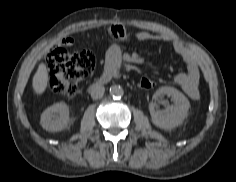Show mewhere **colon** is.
<instances>
[{
	"label": "colon",
	"instance_id": "1",
	"mask_svg": "<svg viewBox=\"0 0 236 182\" xmlns=\"http://www.w3.org/2000/svg\"><path fill=\"white\" fill-rule=\"evenodd\" d=\"M117 38L119 35L108 30ZM50 72V88L58 96L70 99L77 93L78 82L92 73L96 65L94 54L89 50L69 52L64 42L55 45L47 56ZM142 89H151L155 82L148 76H142L138 81Z\"/></svg>",
	"mask_w": 236,
	"mask_h": 182
}]
</instances>
